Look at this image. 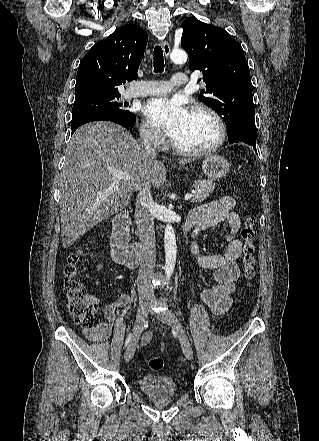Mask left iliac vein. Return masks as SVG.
<instances>
[{"instance_id":"4c4485c4","label":"left iliac vein","mask_w":319,"mask_h":441,"mask_svg":"<svg viewBox=\"0 0 319 441\" xmlns=\"http://www.w3.org/2000/svg\"><path fill=\"white\" fill-rule=\"evenodd\" d=\"M162 322L167 323L170 325L178 334V337L180 339L183 352L187 359L191 360L193 358V349L192 346L188 340V337L179 322L178 318L175 316V314L171 310H166L161 314H155Z\"/></svg>"}]
</instances>
